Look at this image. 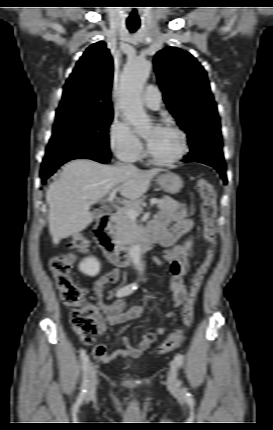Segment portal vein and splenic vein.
Masks as SVG:
<instances>
[{
    "mask_svg": "<svg viewBox=\"0 0 273 430\" xmlns=\"http://www.w3.org/2000/svg\"><path fill=\"white\" fill-rule=\"evenodd\" d=\"M120 189V187H116V188H114L111 192H110V194H109V197H108V202L109 203H111L112 205H113V198H114V196H115V194H116V192L118 191ZM160 202V200L159 199H157V198H152L151 200H150V205L151 206H153L154 204H157V203H159ZM118 211H122V208H120L119 206H114ZM125 211V213L131 218V219H135L137 216H139V214L142 212V209L141 208H139L138 210H136V209H133V208H130V209H126V210H124Z\"/></svg>",
    "mask_w": 273,
    "mask_h": 430,
    "instance_id": "portal-vein-and-splenic-vein-1",
    "label": "portal vein and splenic vein"
}]
</instances>
